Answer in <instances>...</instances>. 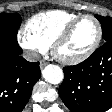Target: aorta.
I'll list each match as a JSON object with an SVG mask.
<instances>
[{"label": "aorta", "instance_id": "aorta-1", "mask_svg": "<svg viewBox=\"0 0 112 112\" xmlns=\"http://www.w3.org/2000/svg\"><path fill=\"white\" fill-rule=\"evenodd\" d=\"M43 77L51 84H59L63 81L64 74L59 66L49 64L43 70Z\"/></svg>", "mask_w": 112, "mask_h": 112}]
</instances>
